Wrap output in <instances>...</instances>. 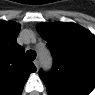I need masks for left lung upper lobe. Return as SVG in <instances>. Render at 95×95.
<instances>
[{
	"mask_svg": "<svg viewBox=\"0 0 95 95\" xmlns=\"http://www.w3.org/2000/svg\"><path fill=\"white\" fill-rule=\"evenodd\" d=\"M54 66L40 71L49 95H87L95 87V36L75 23L40 24Z\"/></svg>",
	"mask_w": 95,
	"mask_h": 95,
	"instance_id": "1",
	"label": "left lung upper lobe"
}]
</instances>
